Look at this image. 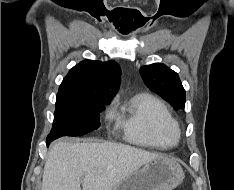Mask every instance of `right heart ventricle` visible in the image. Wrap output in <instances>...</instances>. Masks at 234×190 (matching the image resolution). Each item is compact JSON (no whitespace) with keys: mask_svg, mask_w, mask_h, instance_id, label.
Returning <instances> with one entry per match:
<instances>
[{"mask_svg":"<svg viewBox=\"0 0 234 190\" xmlns=\"http://www.w3.org/2000/svg\"><path fill=\"white\" fill-rule=\"evenodd\" d=\"M116 126L126 141L167 149L177 142L178 124L167 106L154 95L139 94L114 110Z\"/></svg>","mask_w":234,"mask_h":190,"instance_id":"1","label":"right heart ventricle"}]
</instances>
